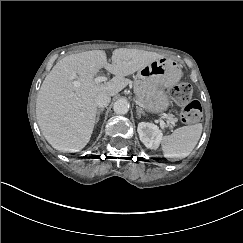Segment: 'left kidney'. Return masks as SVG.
<instances>
[{
    "label": "left kidney",
    "mask_w": 243,
    "mask_h": 243,
    "mask_svg": "<svg viewBox=\"0 0 243 243\" xmlns=\"http://www.w3.org/2000/svg\"><path fill=\"white\" fill-rule=\"evenodd\" d=\"M137 132L141 142L149 149L156 150L162 141V131L153 123L140 122Z\"/></svg>",
    "instance_id": "5707ae66"
}]
</instances>
